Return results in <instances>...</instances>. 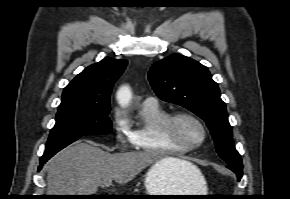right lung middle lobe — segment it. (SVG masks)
I'll use <instances>...</instances> for the list:
<instances>
[{"instance_id":"1","label":"right lung middle lobe","mask_w":290,"mask_h":199,"mask_svg":"<svg viewBox=\"0 0 290 199\" xmlns=\"http://www.w3.org/2000/svg\"><path fill=\"white\" fill-rule=\"evenodd\" d=\"M109 112L110 105L58 108L56 124L50 131L44 154L58 152L85 135L111 133Z\"/></svg>"}]
</instances>
